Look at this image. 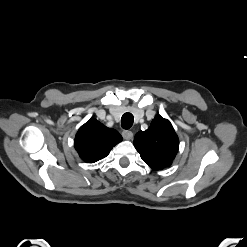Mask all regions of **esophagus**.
I'll return each mask as SVG.
<instances>
[{
    "mask_svg": "<svg viewBox=\"0 0 247 247\" xmlns=\"http://www.w3.org/2000/svg\"><path fill=\"white\" fill-rule=\"evenodd\" d=\"M122 136L125 140H132L133 138V133L129 130H125L122 132Z\"/></svg>",
    "mask_w": 247,
    "mask_h": 247,
    "instance_id": "obj_1",
    "label": "esophagus"
}]
</instances>
